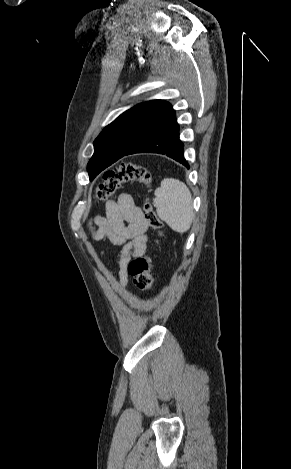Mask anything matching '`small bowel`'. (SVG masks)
<instances>
[{"label":"small bowel","mask_w":291,"mask_h":469,"mask_svg":"<svg viewBox=\"0 0 291 469\" xmlns=\"http://www.w3.org/2000/svg\"><path fill=\"white\" fill-rule=\"evenodd\" d=\"M148 223L144 213L135 205L133 197L124 193L117 201L106 204L105 215H96L89 222V231L94 240L109 239L122 246L118 282L122 288L128 285V263L143 256L147 250Z\"/></svg>","instance_id":"obj_1"}]
</instances>
